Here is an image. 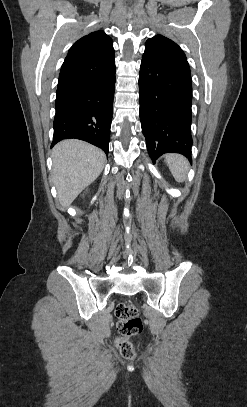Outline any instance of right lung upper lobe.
I'll use <instances>...</instances> for the list:
<instances>
[{
  "label": "right lung upper lobe",
  "instance_id": "right-lung-upper-lobe-1",
  "mask_svg": "<svg viewBox=\"0 0 247 407\" xmlns=\"http://www.w3.org/2000/svg\"><path fill=\"white\" fill-rule=\"evenodd\" d=\"M114 56L112 39L104 31L89 33L69 49L60 71L58 87L78 80Z\"/></svg>",
  "mask_w": 247,
  "mask_h": 407
}]
</instances>
